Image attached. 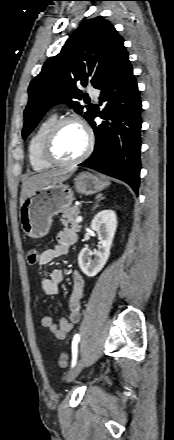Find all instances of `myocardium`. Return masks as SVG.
<instances>
[{
  "label": "myocardium",
  "instance_id": "obj_1",
  "mask_svg": "<svg viewBox=\"0 0 174 440\" xmlns=\"http://www.w3.org/2000/svg\"><path fill=\"white\" fill-rule=\"evenodd\" d=\"M71 122L77 123L82 127L87 137V143L83 152L75 159L60 160L54 154V150H53L54 141L61 127ZM93 147H94V135L90 127L82 118L75 115H71L58 119L52 125V127L49 129L45 137L42 153L44 159L51 165L64 167V166L75 165L85 160L91 154Z\"/></svg>",
  "mask_w": 174,
  "mask_h": 440
}]
</instances>
